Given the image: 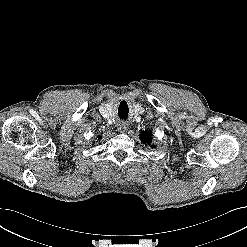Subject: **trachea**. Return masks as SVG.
I'll use <instances>...</instances> for the list:
<instances>
[{"label": "trachea", "instance_id": "1", "mask_svg": "<svg viewBox=\"0 0 247 247\" xmlns=\"http://www.w3.org/2000/svg\"><path fill=\"white\" fill-rule=\"evenodd\" d=\"M126 117H121V119H125Z\"/></svg>", "mask_w": 247, "mask_h": 247}]
</instances>
